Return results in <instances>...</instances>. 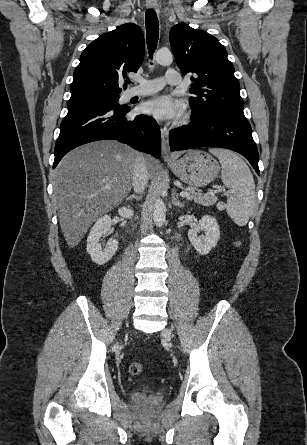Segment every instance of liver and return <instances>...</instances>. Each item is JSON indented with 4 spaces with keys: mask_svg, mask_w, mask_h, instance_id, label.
Returning <instances> with one entry per match:
<instances>
[{
    "mask_svg": "<svg viewBox=\"0 0 307 445\" xmlns=\"http://www.w3.org/2000/svg\"><path fill=\"white\" fill-rule=\"evenodd\" d=\"M137 154L118 140H96L70 150L59 162L53 194L69 247L79 245L92 223L129 194ZM146 166L152 172L155 160L146 158Z\"/></svg>",
    "mask_w": 307,
    "mask_h": 445,
    "instance_id": "liver-1",
    "label": "liver"
}]
</instances>
